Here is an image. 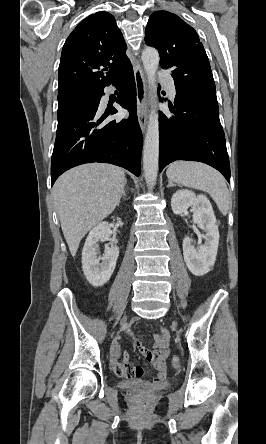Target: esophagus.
Listing matches in <instances>:
<instances>
[{"label": "esophagus", "instance_id": "obj_1", "mask_svg": "<svg viewBox=\"0 0 266 444\" xmlns=\"http://www.w3.org/2000/svg\"><path fill=\"white\" fill-rule=\"evenodd\" d=\"M134 76L137 92V114L138 120L143 133L147 126V85L144 72L139 63L134 66Z\"/></svg>", "mask_w": 266, "mask_h": 444}]
</instances>
